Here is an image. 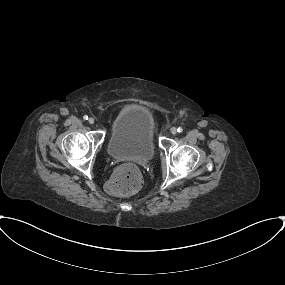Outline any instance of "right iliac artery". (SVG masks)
<instances>
[{
    "mask_svg": "<svg viewBox=\"0 0 285 285\" xmlns=\"http://www.w3.org/2000/svg\"><path fill=\"white\" fill-rule=\"evenodd\" d=\"M83 119H84V120H88V116H87V115H84V116H83Z\"/></svg>",
    "mask_w": 285,
    "mask_h": 285,
    "instance_id": "82829eb1",
    "label": "right iliac artery"
}]
</instances>
